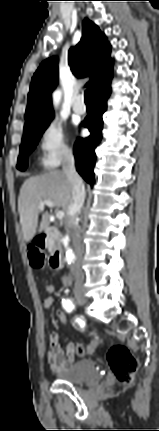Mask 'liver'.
I'll return each mask as SVG.
<instances>
[{"label":"liver","instance_id":"liver-1","mask_svg":"<svg viewBox=\"0 0 159 431\" xmlns=\"http://www.w3.org/2000/svg\"><path fill=\"white\" fill-rule=\"evenodd\" d=\"M44 200H51L54 206L62 208L68 219V209L72 202V184L64 171H50L27 179L20 189L18 198V212L24 235L29 242L37 230L40 232L49 226V213L44 212L38 228V216L41 212L39 204Z\"/></svg>","mask_w":159,"mask_h":431}]
</instances>
